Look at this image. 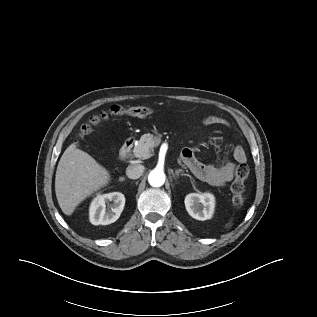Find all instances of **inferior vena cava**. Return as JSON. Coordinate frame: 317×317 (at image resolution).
Returning <instances> with one entry per match:
<instances>
[{
	"instance_id": "602c4592",
	"label": "inferior vena cava",
	"mask_w": 317,
	"mask_h": 317,
	"mask_svg": "<svg viewBox=\"0 0 317 317\" xmlns=\"http://www.w3.org/2000/svg\"><path fill=\"white\" fill-rule=\"evenodd\" d=\"M144 172V166L142 165H129L126 169V175L130 179H138Z\"/></svg>"
}]
</instances>
